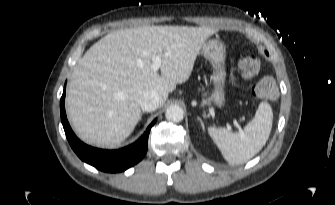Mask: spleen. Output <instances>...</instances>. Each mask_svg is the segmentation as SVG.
Instances as JSON below:
<instances>
[{
  "mask_svg": "<svg viewBox=\"0 0 335 205\" xmlns=\"http://www.w3.org/2000/svg\"><path fill=\"white\" fill-rule=\"evenodd\" d=\"M273 112L270 104H259L254 118L239 132L210 127L209 135L229 164L245 163L266 144L272 129Z\"/></svg>",
  "mask_w": 335,
  "mask_h": 205,
  "instance_id": "spleen-1",
  "label": "spleen"
}]
</instances>
